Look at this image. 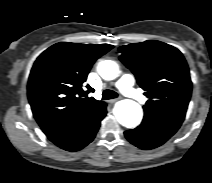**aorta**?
<instances>
[{"instance_id": "aorta-1", "label": "aorta", "mask_w": 212, "mask_h": 183, "mask_svg": "<svg viewBox=\"0 0 212 183\" xmlns=\"http://www.w3.org/2000/svg\"><path fill=\"white\" fill-rule=\"evenodd\" d=\"M98 73L105 80L115 79L119 74V65L112 60H103L98 65ZM114 115L121 125L133 128L140 123L143 112L138 103L125 99L116 103Z\"/></svg>"}]
</instances>
